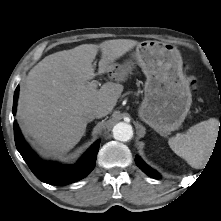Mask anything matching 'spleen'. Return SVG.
<instances>
[{
	"label": "spleen",
	"mask_w": 221,
	"mask_h": 221,
	"mask_svg": "<svg viewBox=\"0 0 221 221\" xmlns=\"http://www.w3.org/2000/svg\"><path fill=\"white\" fill-rule=\"evenodd\" d=\"M219 130V121L210 118L190 127L185 134L168 140L170 148L193 168H203L209 160Z\"/></svg>",
	"instance_id": "spleen-1"
}]
</instances>
